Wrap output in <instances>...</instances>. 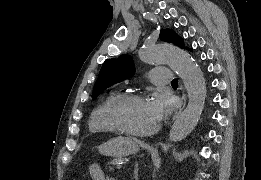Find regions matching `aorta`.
Segmentation results:
<instances>
[{"label":"aorta","mask_w":261,"mask_h":180,"mask_svg":"<svg viewBox=\"0 0 261 180\" xmlns=\"http://www.w3.org/2000/svg\"><path fill=\"white\" fill-rule=\"evenodd\" d=\"M139 58L149 64L167 63L183 80L188 104L169 133L171 141H181L193 131L204 109L206 84L201 69L187 52L173 45L145 46L140 49Z\"/></svg>","instance_id":"762f6f07"}]
</instances>
